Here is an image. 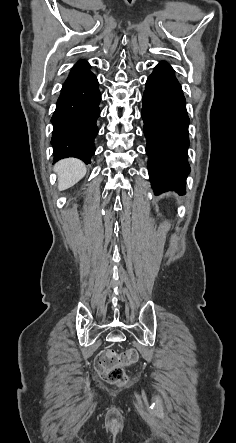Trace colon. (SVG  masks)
Listing matches in <instances>:
<instances>
[{"label":"colon","mask_w":236,"mask_h":443,"mask_svg":"<svg viewBox=\"0 0 236 443\" xmlns=\"http://www.w3.org/2000/svg\"><path fill=\"white\" fill-rule=\"evenodd\" d=\"M137 360L138 353L134 349H128L121 354L105 351L96 358L95 368L98 374L107 382L121 385L127 382L124 367L135 363Z\"/></svg>","instance_id":"colon-1"}]
</instances>
